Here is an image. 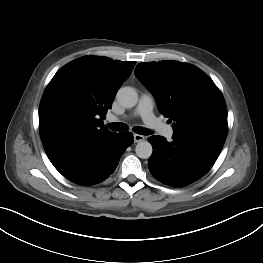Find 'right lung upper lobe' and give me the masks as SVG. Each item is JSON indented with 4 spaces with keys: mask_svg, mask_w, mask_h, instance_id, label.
Returning a JSON list of instances; mask_svg holds the SVG:
<instances>
[{
    "mask_svg": "<svg viewBox=\"0 0 263 263\" xmlns=\"http://www.w3.org/2000/svg\"><path fill=\"white\" fill-rule=\"evenodd\" d=\"M135 64L85 56L54 75L39 106V132L47 155L74 141L113 133L103 120Z\"/></svg>",
    "mask_w": 263,
    "mask_h": 263,
    "instance_id": "cb5924a9",
    "label": "right lung upper lobe"
}]
</instances>
